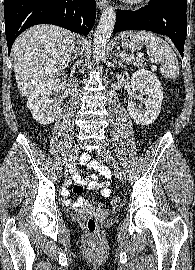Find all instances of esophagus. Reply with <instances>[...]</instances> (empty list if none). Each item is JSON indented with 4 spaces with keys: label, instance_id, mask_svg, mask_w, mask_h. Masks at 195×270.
<instances>
[{
    "label": "esophagus",
    "instance_id": "1",
    "mask_svg": "<svg viewBox=\"0 0 195 270\" xmlns=\"http://www.w3.org/2000/svg\"><path fill=\"white\" fill-rule=\"evenodd\" d=\"M96 3H97V7L102 10L104 9L107 4H108V1L107 0H96Z\"/></svg>",
    "mask_w": 195,
    "mask_h": 270
}]
</instances>
